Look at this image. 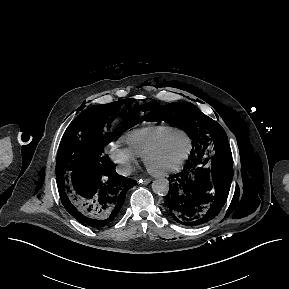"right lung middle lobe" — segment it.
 Segmentation results:
<instances>
[{
  "mask_svg": "<svg viewBox=\"0 0 289 289\" xmlns=\"http://www.w3.org/2000/svg\"><path fill=\"white\" fill-rule=\"evenodd\" d=\"M124 102L136 103L134 99H129L91 106L84 110L67 128L60 142L57 156V184L67 181L72 171L83 162L103 155V146L115 138V133L110 132V125L118 107ZM139 111L140 108L136 104L128 112L117 135L141 122L137 117Z\"/></svg>",
  "mask_w": 289,
  "mask_h": 289,
  "instance_id": "right-lung-middle-lobe-1",
  "label": "right lung middle lobe"
}]
</instances>
